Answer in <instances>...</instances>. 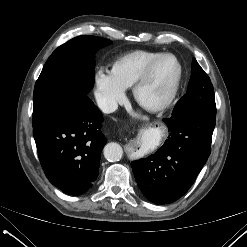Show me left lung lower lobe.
I'll list each match as a JSON object with an SVG mask.
<instances>
[{
  "mask_svg": "<svg viewBox=\"0 0 247 247\" xmlns=\"http://www.w3.org/2000/svg\"><path fill=\"white\" fill-rule=\"evenodd\" d=\"M215 120L216 115L197 107L163 119L168 140L155 154L131 163L148 200L168 204L189 190L210 155Z\"/></svg>",
  "mask_w": 247,
  "mask_h": 247,
  "instance_id": "0a47b994",
  "label": "left lung lower lobe"
}]
</instances>
